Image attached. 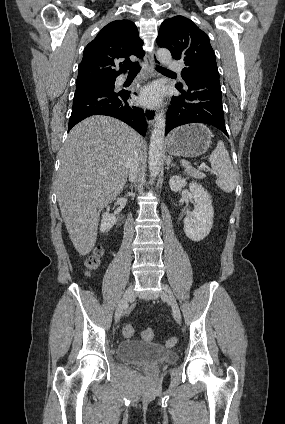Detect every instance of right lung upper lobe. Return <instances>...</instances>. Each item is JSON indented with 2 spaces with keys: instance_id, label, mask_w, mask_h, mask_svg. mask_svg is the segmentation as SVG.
Masks as SVG:
<instances>
[{
  "instance_id": "obj_1",
  "label": "right lung upper lobe",
  "mask_w": 285,
  "mask_h": 424,
  "mask_svg": "<svg viewBox=\"0 0 285 424\" xmlns=\"http://www.w3.org/2000/svg\"><path fill=\"white\" fill-rule=\"evenodd\" d=\"M143 41L139 38L135 24L129 20H116L106 25L83 52L78 67L76 84L115 81L125 70L123 63H131L129 56H144ZM120 66L119 70L116 67Z\"/></svg>"
}]
</instances>
